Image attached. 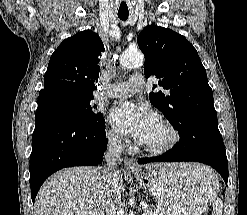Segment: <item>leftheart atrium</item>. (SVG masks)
Listing matches in <instances>:
<instances>
[{"instance_id": "1", "label": "left heart atrium", "mask_w": 247, "mask_h": 215, "mask_svg": "<svg viewBox=\"0 0 247 215\" xmlns=\"http://www.w3.org/2000/svg\"><path fill=\"white\" fill-rule=\"evenodd\" d=\"M108 118L119 133L131 136L142 144L158 123L156 115L146 107L127 101L114 106Z\"/></svg>"}]
</instances>
